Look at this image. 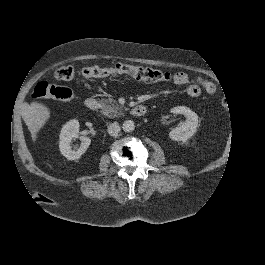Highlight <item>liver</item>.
I'll return each mask as SVG.
<instances>
[{
  "instance_id": "obj_1",
  "label": "liver",
  "mask_w": 265,
  "mask_h": 265,
  "mask_svg": "<svg viewBox=\"0 0 265 265\" xmlns=\"http://www.w3.org/2000/svg\"><path fill=\"white\" fill-rule=\"evenodd\" d=\"M22 117L31 133L32 140L35 142L37 133L50 117V111L45 105L32 102L30 105L26 104Z\"/></svg>"
}]
</instances>
